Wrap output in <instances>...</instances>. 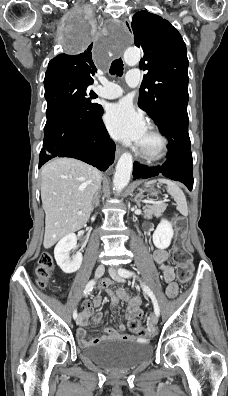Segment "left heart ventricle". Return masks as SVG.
I'll list each match as a JSON object with an SVG mask.
<instances>
[{
  "label": "left heart ventricle",
  "mask_w": 228,
  "mask_h": 396,
  "mask_svg": "<svg viewBox=\"0 0 228 396\" xmlns=\"http://www.w3.org/2000/svg\"><path fill=\"white\" fill-rule=\"evenodd\" d=\"M139 146L144 150L154 151L158 147V140L147 131Z\"/></svg>",
  "instance_id": "obj_1"
}]
</instances>
